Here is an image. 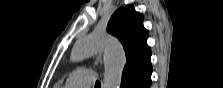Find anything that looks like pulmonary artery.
<instances>
[{
  "mask_svg": "<svg viewBox=\"0 0 223 88\" xmlns=\"http://www.w3.org/2000/svg\"><path fill=\"white\" fill-rule=\"evenodd\" d=\"M96 81V75L89 69L78 70L69 75L66 84L75 88H88Z\"/></svg>",
  "mask_w": 223,
  "mask_h": 88,
  "instance_id": "1",
  "label": "pulmonary artery"
}]
</instances>
